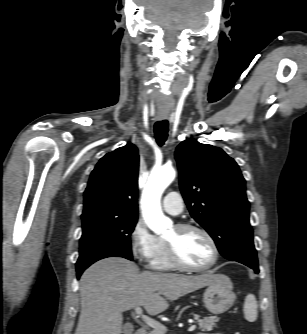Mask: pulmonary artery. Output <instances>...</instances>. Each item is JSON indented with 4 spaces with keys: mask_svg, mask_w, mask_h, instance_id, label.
Masks as SVG:
<instances>
[{
    "mask_svg": "<svg viewBox=\"0 0 307 334\" xmlns=\"http://www.w3.org/2000/svg\"><path fill=\"white\" fill-rule=\"evenodd\" d=\"M163 210L170 215H178L183 211V199L176 191L167 193L162 202Z\"/></svg>",
    "mask_w": 307,
    "mask_h": 334,
    "instance_id": "obj_1",
    "label": "pulmonary artery"
}]
</instances>
